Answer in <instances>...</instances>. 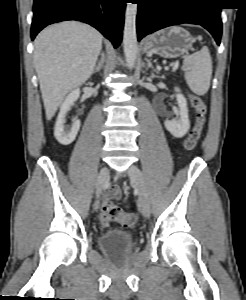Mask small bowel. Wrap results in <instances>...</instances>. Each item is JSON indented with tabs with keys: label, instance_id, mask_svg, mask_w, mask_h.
I'll use <instances>...</instances> for the list:
<instances>
[{
	"label": "small bowel",
	"instance_id": "1",
	"mask_svg": "<svg viewBox=\"0 0 246 300\" xmlns=\"http://www.w3.org/2000/svg\"><path fill=\"white\" fill-rule=\"evenodd\" d=\"M109 197L119 199L121 197V192L118 188H112L108 194ZM99 220L103 225H108L110 220H108L102 213H100Z\"/></svg>",
	"mask_w": 246,
	"mask_h": 300
}]
</instances>
